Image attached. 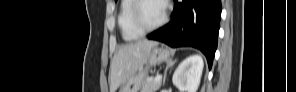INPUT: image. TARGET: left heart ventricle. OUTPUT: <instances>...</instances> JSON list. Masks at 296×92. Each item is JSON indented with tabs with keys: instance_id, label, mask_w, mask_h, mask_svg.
I'll return each instance as SVG.
<instances>
[{
	"instance_id": "obj_1",
	"label": "left heart ventricle",
	"mask_w": 296,
	"mask_h": 92,
	"mask_svg": "<svg viewBox=\"0 0 296 92\" xmlns=\"http://www.w3.org/2000/svg\"><path fill=\"white\" fill-rule=\"evenodd\" d=\"M163 14L164 6L160 1H146L141 8V18L147 26L156 24Z\"/></svg>"
}]
</instances>
